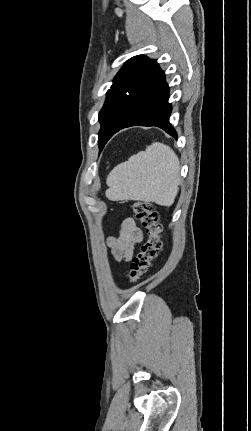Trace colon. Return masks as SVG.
Returning <instances> with one entry per match:
<instances>
[{"label": "colon", "mask_w": 251, "mask_h": 431, "mask_svg": "<svg viewBox=\"0 0 251 431\" xmlns=\"http://www.w3.org/2000/svg\"><path fill=\"white\" fill-rule=\"evenodd\" d=\"M135 217L145 230L148 238L132 258L130 266V283L135 285L147 272L151 262L158 256L161 248L162 225L159 214L148 201H136L132 205Z\"/></svg>", "instance_id": "1"}]
</instances>
